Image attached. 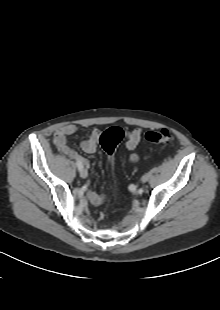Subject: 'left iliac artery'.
<instances>
[{"label": "left iliac artery", "instance_id": "44dca946", "mask_svg": "<svg viewBox=\"0 0 220 310\" xmlns=\"http://www.w3.org/2000/svg\"><path fill=\"white\" fill-rule=\"evenodd\" d=\"M128 189L131 191V192H135L136 189H137V186L135 184H130Z\"/></svg>", "mask_w": 220, "mask_h": 310}]
</instances>
